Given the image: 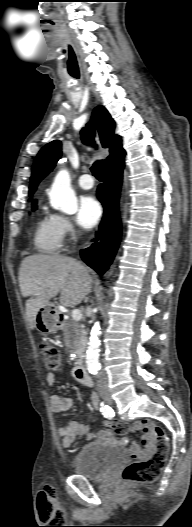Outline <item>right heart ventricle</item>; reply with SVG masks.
<instances>
[{
    "label": "right heart ventricle",
    "mask_w": 192,
    "mask_h": 527,
    "mask_svg": "<svg viewBox=\"0 0 192 527\" xmlns=\"http://www.w3.org/2000/svg\"><path fill=\"white\" fill-rule=\"evenodd\" d=\"M34 245L37 251L44 254H56L60 251L62 237L54 215L43 214L39 217L34 232Z\"/></svg>",
    "instance_id": "right-heart-ventricle-1"
}]
</instances>
